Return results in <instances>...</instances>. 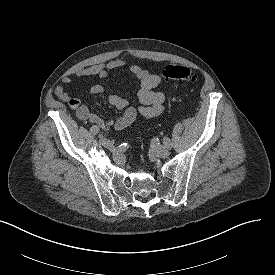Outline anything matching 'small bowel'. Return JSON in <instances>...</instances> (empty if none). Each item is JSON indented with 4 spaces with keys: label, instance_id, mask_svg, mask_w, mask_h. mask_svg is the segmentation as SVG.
Returning a JSON list of instances; mask_svg holds the SVG:
<instances>
[{
    "label": "small bowel",
    "instance_id": "1",
    "mask_svg": "<svg viewBox=\"0 0 275 275\" xmlns=\"http://www.w3.org/2000/svg\"><path fill=\"white\" fill-rule=\"evenodd\" d=\"M126 64L125 60L116 58L108 62L77 69L73 74L76 77L95 76L105 79L109 76L110 72L123 68ZM128 70L139 80L138 99L140 104L138 107H132L125 98L116 93H111L108 96L109 103L122 112V115L115 120L107 121L93 113L78 98L71 96L64 85H58L54 92L58 99L67 103L71 109L75 110L79 120L93 124L105 131L112 127L116 130H123L136 123L140 117L153 118L159 116L164 111L165 101L171 94L169 89L155 90L162 82V77L159 74L151 73L139 65H131ZM73 82L74 79L70 76L62 78V83L65 85L72 84ZM105 91L106 88L104 85L95 84L90 88L89 94L98 95Z\"/></svg>",
    "mask_w": 275,
    "mask_h": 275
}]
</instances>
